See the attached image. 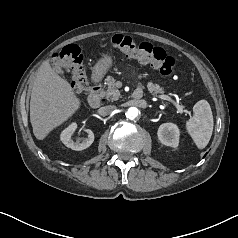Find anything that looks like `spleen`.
<instances>
[{"label": "spleen", "mask_w": 238, "mask_h": 238, "mask_svg": "<svg viewBox=\"0 0 238 238\" xmlns=\"http://www.w3.org/2000/svg\"><path fill=\"white\" fill-rule=\"evenodd\" d=\"M214 127L210 104L198 101L193 107V116L186 122V130L199 149L207 146Z\"/></svg>", "instance_id": "3e777b00"}]
</instances>
